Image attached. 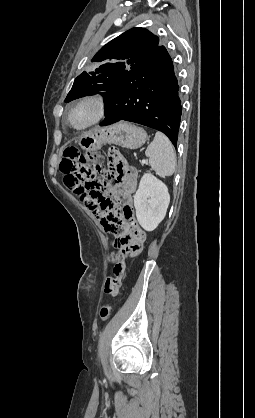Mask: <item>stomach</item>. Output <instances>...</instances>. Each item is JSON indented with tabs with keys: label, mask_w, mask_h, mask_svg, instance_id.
<instances>
[{
	"label": "stomach",
	"mask_w": 255,
	"mask_h": 418,
	"mask_svg": "<svg viewBox=\"0 0 255 418\" xmlns=\"http://www.w3.org/2000/svg\"><path fill=\"white\" fill-rule=\"evenodd\" d=\"M146 131L134 124L121 122L110 127H97L86 132L79 145L86 151L99 149L103 144H116L128 149H137L145 144Z\"/></svg>",
	"instance_id": "stomach-1"
}]
</instances>
